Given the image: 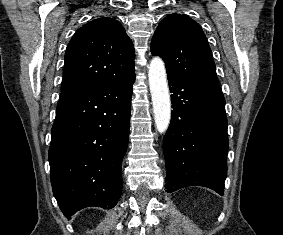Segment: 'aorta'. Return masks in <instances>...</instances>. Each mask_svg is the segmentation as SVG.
Here are the masks:
<instances>
[{
    "label": "aorta",
    "instance_id": "obj_1",
    "mask_svg": "<svg viewBox=\"0 0 283 235\" xmlns=\"http://www.w3.org/2000/svg\"><path fill=\"white\" fill-rule=\"evenodd\" d=\"M149 86L152 97L155 125L159 133H165L171 119V102L164 62L154 57L149 65Z\"/></svg>",
    "mask_w": 283,
    "mask_h": 235
}]
</instances>
